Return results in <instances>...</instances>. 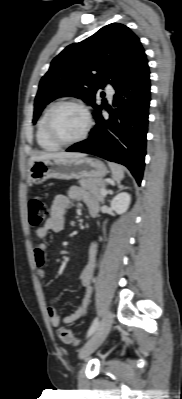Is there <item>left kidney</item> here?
I'll return each mask as SVG.
<instances>
[{"mask_svg":"<svg viewBox=\"0 0 182 399\" xmlns=\"http://www.w3.org/2000/svg\"><path fill=\"white\" fill-rule=\"evenodd\" d=\"M131 202V196L126 193L122 192L116 195L112 201H111V208L117 213V214H123L125 213Z\"/></svg>","mask_w":182,"mask_h":399,"instance_id":"5707ae66","label":"left kidney"}]
</instances>
